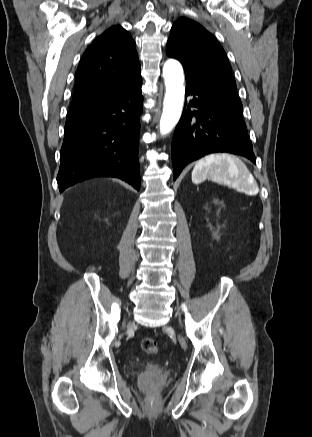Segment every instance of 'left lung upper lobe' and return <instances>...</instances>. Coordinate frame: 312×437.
<instances>
[{
    "mask_svg": "<svg viewBox=\"0 0 312 437\" xmlns=\"http://www.w3.org/2000/svg\"><path fill=\"white\" fill-rule=\"evenodd\" d=\"M166 53L182 63L187 79L223 96L242 112L225 51L200 24L185 17L178 19L171 28Z\"/></svg>",
    "mask_w": 312,
    "mask_h": 437,
    "instance_id": "obj_1",
    "label": "left lung upper lobe"
}]
</instances>
